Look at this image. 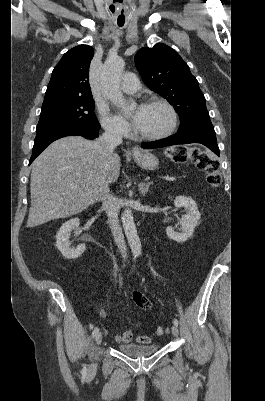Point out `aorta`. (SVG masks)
<instances>
[{
  "instance_id": "obj_1",
  "label": "aorta",
  "mask_w": 265,
  "mask_h": 401,
  "mask_svg": "<svg viewBox=\"0 0 265 401\" xmlns=\"http://www.w3.org/2000/svg\"><path fill=\"white\" fill-rule=\"evenodd\" d=\"M124 66L125 62L121 58H118V60H110L108 58L102 68L101 82L104 94L113 104H126V100L120 90V78L123 74ZM122 223L133 255H142V247L134 223L133 213L128 207L122 213Z\"/></svg>"
}]
</instances>
